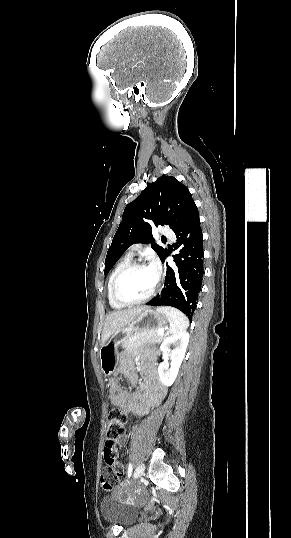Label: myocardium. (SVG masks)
I'll use <instances>...</instances> for the list:
<instances>
[{"label": "myocardium", "instance_id": "obj_1", "mask_svg": "<svg viewBox=\"0 0 291 538\" xmlns=\"http://www.w3.org/2000/svg\"><path fill=\"white\" fill-rule=\"evenodd\" d=\"M141 268H149V266H147L145 263H142V262H131L130 264H128L126 267H124L114 278L113 280V283H112V297L113 299L120 305L122 306H132V305H137V304H141V303H144L148 300H150L154 294L156 293L158 287H159V275L156 277L155 279V283L152 287V289L150 290V292L140 298V299H136V300H126V299H123L120 295H119V292H118V286H119V283L121 281V279L126 275L128 274L129 272L135 270V269H141Z\"/></svg>", "mask_w": 291, "mask_h": 538}]
</instances>
